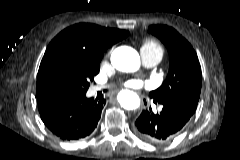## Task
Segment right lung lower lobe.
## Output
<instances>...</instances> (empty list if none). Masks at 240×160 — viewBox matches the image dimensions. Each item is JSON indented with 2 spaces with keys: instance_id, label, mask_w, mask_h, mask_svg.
I'll return each instance as SVG.
<instances>
[{
  "instance_id": "right-lung-lower-lobe-1",
  "label": "right lung lower lobe",
  "mask_w": 240,
  "mask_h": 160,
  "mask_svg": "<svg viewBox=\"0 0 240 160\" xmlns=\"http://www.w3.org/2000/svg\"><path fill=\"white\" fill-rule=\"evenodd\" d=\"M106 100L49 96L38 101L42 121L59 139L75 141L90 135L101 117Z\"/></svg>"
}]
</instances>
